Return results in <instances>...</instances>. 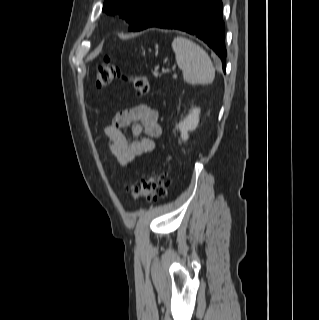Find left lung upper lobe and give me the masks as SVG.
Masks as SVG:
<instances>
[{
	"label": "left lung upper lobe",
	"instance_id": "obj_1",
	"mask_svg": "<svg viewBox=\"0 0 319 320\" xmlns=\"http://www.w3.org/2000/svg\"><path fill=\"white\" fill-rule=\"evenodd\" d=\"M157 0H105L103 12L119 15L130 25L145 11L150 9Z\"/></svg>",
	"mask_w": 319,
	"mask_h": 320
}]
</instances>
